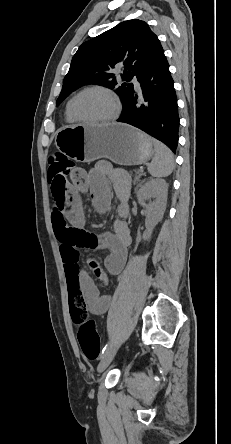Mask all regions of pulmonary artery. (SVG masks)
I'll list each match as a JSON object with an SVG mask.
<instances>
[{
  "label": "pulmonary artery",
  "instance_id": "pulmonary-artery-1",
  "mask_svg": "<svg viewBox=\"0 0 231 444\" xmlns=\"http://www.w3.org/2000/svg\"><path fill=\"white\" fill-rule=\"evenodd\" d=\"M134 84H135V88H136L137 90H139V89H140V87H139V84L137 83V81H136V80H134Z\"/></svg>",
  "mask_w": 231,
  "mask_h": 444
}]
</instances>
